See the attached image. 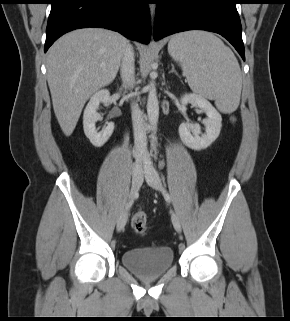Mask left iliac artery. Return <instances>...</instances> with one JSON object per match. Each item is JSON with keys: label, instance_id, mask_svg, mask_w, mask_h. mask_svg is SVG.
I'll use <instances>...</instances> for the list:
<instances>
[{"label": "left iliac artery", "instance_id": "44dca946", "mask_svg": "<svg viewBox=\"0 0 290 321\" xmlns=\"http://www.w3.org/2000/svg\"><path fill=\"white\" fill-rule=\"evenodd\" d=\"M163 192H164L165 198H166L167 200H170V196H169V194L167 193V191H166V190H163Z\"/></svg>", "mask_w": 290, "mask_h": 321}]
</instances>
